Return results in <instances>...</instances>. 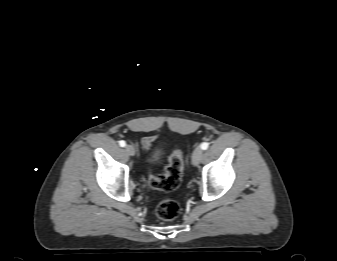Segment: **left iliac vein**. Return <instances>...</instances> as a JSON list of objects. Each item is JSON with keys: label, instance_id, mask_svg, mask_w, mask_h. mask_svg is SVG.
<instances>
[{"label": "left iliac vein", "instance_id": "obj_1", "mask_svg": "<svg viewBox=\"0 0 337 261\" xmlns=\"http://www.w3.org/2000/svg\"><path fill=\"white\" fill-rule=\"evenodd\" d=\"M203 157V151L200 147H197L192 154V164L197 166Z\"/></svg>", "mask_w": 337, "mask_h": 261}]
</instances>
